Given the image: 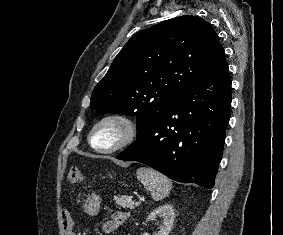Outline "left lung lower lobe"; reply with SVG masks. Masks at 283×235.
Listing matches in <instances>:
<instances>
[{"mask_svg": "<svg viewBox=\"0 0 283 235\" xmlns=\"http://www.w3.org/2000/svg\"><path fill=\"white\" fill-rule=\"evenodd\" d=\"M228 65L187 88L117 159L138 161L178 182L212 188L230 118Z\"/></svg>", "mask_w": 283, "mask_h": 235, "instance_id": "obj_1", "label": "left lung lower lobe"}]
</instances>
